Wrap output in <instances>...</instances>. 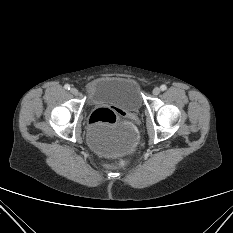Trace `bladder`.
<instances>
[{
	"label": "bladder",
	"instance_id": "obj_1",
	"mask_svg": "<svg viewBox=\"0 0 233 233\" xmlns=\"http://www.w3.org/2000/svg\"><path fill=\"white\" fill-rule=\"evenodd\" d=\"M92 105H116L126 111L136 112L142 106L138 83L130 77H101L90 81L86 87ZM138 142V132L131 123H124L110 132L90 129L87 143L90 149L104 157H118L131 152Z\"/></svg>",
	"mask_w": 233,
	"mask_h": 233
}]
</instances>
